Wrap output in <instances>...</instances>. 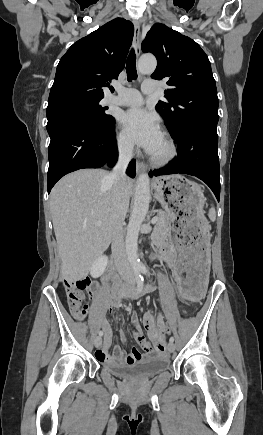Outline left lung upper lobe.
Segmentation results:
<instances>
[{
    "label": "left lung upper lobe",
    "instance_id": "5c2ea615",
    "mask_svg": "<svg viewBox=\"0 0 263 435\" xmlns=\"http://www.w3.org/2000/svg\"><path fill=\"white\" fill-rule=\"evenodd\" d=\"M142 51L157 58L151 77L168 80L166 101H159L156 110L172 135L188 124L218 123L217 89L210 61L195 41L157 23L148 31Z\"/></svg>",
    "mask_w": 263,
    "mask_h": 435
}]
</instances>
